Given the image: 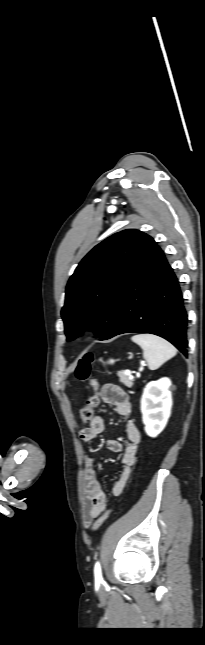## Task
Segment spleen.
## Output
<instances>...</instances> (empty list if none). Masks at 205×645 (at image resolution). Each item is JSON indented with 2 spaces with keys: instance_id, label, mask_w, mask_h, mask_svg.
I'll use <instances>...</instances> for the list:
<instances>
[{
  "instance_id": "1",
  "label": "spleen",
  "mask_w": 205,
  "mask_h": 645,
  "mask_svg": "<svg viewBox=\"0 0 205 645\" xmlns=\"http://www.w3.org/2000/svg\"><path fill=\"white\" fill-rule=\"evenodd\" d=\"M131 339L143 349V357L148 362L150 370L158 369L177 353L172 344L153 334H138Z\"/></svg>"
}]
</instances>
